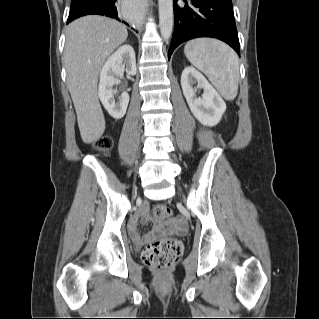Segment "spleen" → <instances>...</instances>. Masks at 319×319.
<instances>
[{
  "mask_svg": "<svg viewBox=\"0 0 319 319\" xmlns=\"http://www.w3.org/2000/svg\"><path fill=\"white\" fill-rule=\"evenodd\" d=\"M184 53L192 65L202 71L226 100L237 96L239 61L237 54L216 39L198 38L189 41Z\"/></svg>",
  "mask_w": 319,
  "mask_h": 319,
  "instance_id": "1",
  "label": "spleen"
}]
</instances>
